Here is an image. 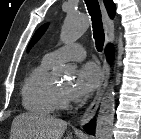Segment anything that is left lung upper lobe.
<instances>
[{"mask_svg": "<svg viewBox=\"0 0 141 139\" xmlns=\"http://www.w3.org/2000/svg\"><path fill=\"white\" fill-rule=\"evenodd\" d=\"M48 24L42 25L34 34L32 40L30 41V44L28 46V50L39 40V38L43 35L45 30L47 29Z\"/></svg>", "mask_w": 141, "mask_h": 139, "instance_id": "obj_1", "label": "left lung upper lobe"}]
</instances>
